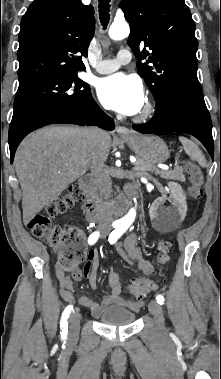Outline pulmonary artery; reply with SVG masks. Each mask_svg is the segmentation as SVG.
Returning <instances> with one entry per match:
<instances>
[{
  "label": "pulmonary artery",
  "instance_id": "pulmonary-artery-1",
  "mask_svg": "<svg viewBox=\"0 0 221 379\" xmlns=\"http://www.w3.org/2000/svg\"><path fill=\"white\" fill-rule=\"evenodd\" d=\"M131 52L127 49H122L118 52L117 57L111 60L99 61L96 65V71L100 74H108L116 71L122 65L131 61Z\"/></svg>",
  "mask_w": 221,
  "mask_h": 379
}]
</instances>
